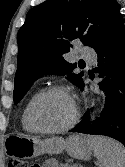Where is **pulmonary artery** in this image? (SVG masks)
Wrapping results in <instances>:
<instances>
[{
  "instance_id": "obj_1",
  "label": "pulmonary artery",
  "mask_w": 125,
  "mask_h": 167,
  "mask_svg": "<svg viewBox=\"0 0 125 167\" xmlns=\"http://www.w3.org/2000/svg\"><path fill=\"white\" fill-rule=\"evenodd\" d=\"M82 57L90 61L96 60V55L89 49H84L82 51Z\"/></svg>"
}]
</instances>
